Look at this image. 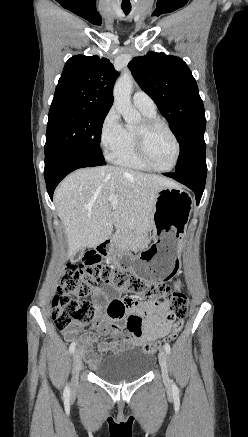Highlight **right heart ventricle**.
<instances>
[{
  "mask_svg": "<svg viewBox=\"0 0 248 437\" xmlns=\"http://www.w3.org/2000/svg\"><path fill=\"white\" fill-rule=\"evenodd\" d=\"M145 119L157 118L156 112L140 110ZM116 164L134 170H146L147 168L140 161L135 144V130L125 128V141L120 151L113 158Z\"/></svg>",
  "mask_w": 248,
  "mask_h": 437,
  "instance_id": "e07e8e85",
  "label": "right heart ventricle"
}]
</instances>
